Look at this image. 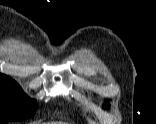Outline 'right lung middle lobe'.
<instances>
[{"label":"right lung middle lobe","instance_id":"right-lung-middle-lobe-1","mask_svg":"<svg viewBox=\"0 0 156 124\" xmlns=\"http://www.w3.org/2000/svg\"><path fill=\"white\" fill-rule=\"evenodd\" d=\"M36 108L35 100L30 101L13 79L0 78V124L33 115Z\"/></svg>","mask_w":156,"mask_h":124}]
</instances>
